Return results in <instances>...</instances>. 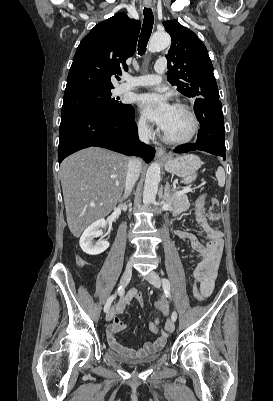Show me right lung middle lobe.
<instances>
[{
  "instance_id": "right-lung-middle-lobe-1",
  "label": "right lung middle lobe",
  "mask_w": 273,
  "mask_h": 401,
  "mask_svg": "<svg viewBox=\"0 0 273 401\" xmlns=\"http://www.w3.org/2000/svg\"><path fill=\"white\" fill-rule=\"evenodd\" d=\"M111 90L87 91L64 96L61 117L77 112H98L113 116L125 114L129 104L111 97Z\"/></svg>"
}]
</instances>
